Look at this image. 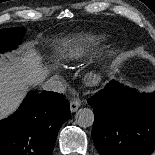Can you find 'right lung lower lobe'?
Segmentation results:
<instances>
[{
	"label": "right lung lower lobe",
	"mask_w": 155,
	"mask_h": 155,
	"mask_svg": "<svg viewBox=\"0 0 155 155\" xmlns=\"http://www.w3.org/2000/svg\"><path fill=\"white\" fill-rule=\"evenodd\" d=\"M69 118L64 95L29 93L12 116L0 120V155H51L58 131Z\"/></svg>",
	"instance_id": "right-lung-lower-lobe-1"
}]
</instances>
